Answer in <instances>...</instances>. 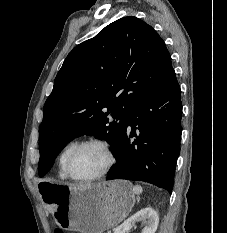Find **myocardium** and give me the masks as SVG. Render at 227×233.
I'll return each instance as SVG.
<instances>
[{
	"instance_id": "myocardium-1",
	"label": "myocardium",
	"mask_w": 227,
	"mask_h": 233,
	"mask_svg": "<svg viewBox=\"0 0 227 233\" xmlns=\"http://www.w3.org/2000/svg\"><path fill=\"white\" fill-rule=\"evenodd\" d=\"M88 145H96V146L101 147L106 153L107 163L104 169L100 173L94 176H91V177H87V178H77L72 174V171H71V159L73 155L79 149H81L82 147L88 146ZM115 160H116L115 153L109 142L103 139H99V138H91V139L83 140L81 142L76 143L73 146V148L69 151V153L67 154L66 160H65V171H66L68 178L71 179L72 181L79 182V183L92 182V181H96V180H99L105 177L110 172L112 167L114 166Z\"/></svg>"
}]
</instances>
